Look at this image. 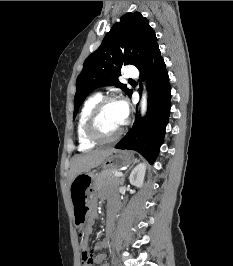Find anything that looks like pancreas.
<instances>
[{
    "mask_svg": "<svg viewBox=\"0 0 233 266\" xmlns=\"http://www.w3.org/2000/svg\"><path fill=\"white\" fill-rule=\"evenodd\" d=\"M120 182V178L115 177V173L107 174V172H101L96 176L95 187L98 190L109 186L117 187Z\"/></svg>",
    "mask_w": 233,
    "mask_h": 266,
    "instance_id": "cf45deb5",
    "label": "pancreas"
}]
</instances>
